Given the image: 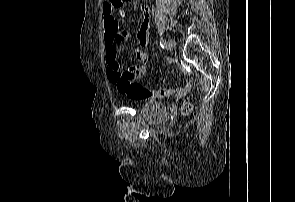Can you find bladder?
<instances>
[{
	"instance_id": "obj_1",
	"label": "bladder",
	"mask_w": 295,
	"mask_h": 202,
	"mask_svg": "<svg viewBox=\"0 0 295 202\" xmlns=\"http://www.w3.org/2000/svg\"><path fill=\"white\" fill-rule=\"evenodd\" d=\"M140 115L147 122H161L167 117V108L160 101L147 99L140 108Z\"/></svg>"
}]
</instances>
